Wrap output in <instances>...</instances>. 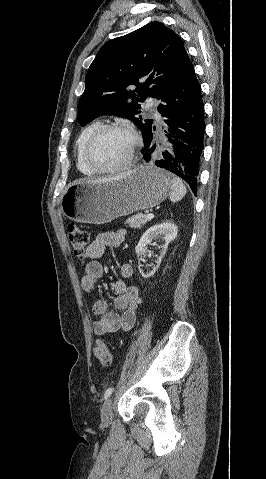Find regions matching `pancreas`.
<instances>
[{
  "label": "pancreas",
  "instance_id": "cf45deb5",
  "mask_svg": "<svg viewBox=\"0 0 266 479\" xmlns=\"http://www.w3.org/2000/svg\"><path fill=\"white\" fill-rule=\"evenodd\" d=\"M149 219L146 218V216L142 213H137L131 217H129L125 224L129 225L132 228H137L140 229L144 224L147 223Z\"/></svg>",
  "mask_w": 266,
  "mask_h": 479
}]
</instances>
